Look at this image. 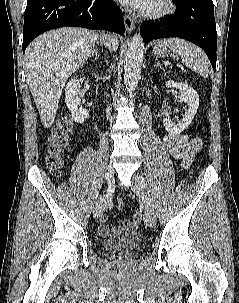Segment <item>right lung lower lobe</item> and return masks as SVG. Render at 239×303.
I'll return each instance as SVG.
<instances>
[{"label":"right lung lower lobe","mask_w":239,"mask_h":303,"mask_svg":"<svg viewBox=\"0 0 239 303\" xmlns=\"http://www.w3.org/2000/svg\"><path fill=\"white\" fill-rule=\"evenodd\" d=\"M62 26L125 32L122 12L113 0H28L23 52L35 37Z\"/></svg>","instance_id":"right-lung-lower-lobe-1"}]
</instances>
